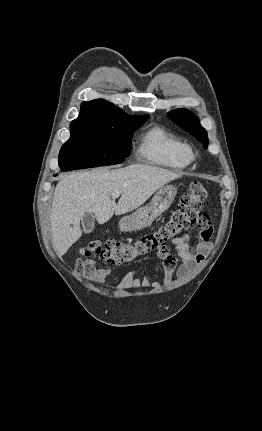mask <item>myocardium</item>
I'll use <instances>...</instances> for the list:
<instances>
[{"instance_id": "1", "label": "myocardium", "mask_w": 262, "mask_h": 431, "mask_svg": "<svg viewBox=\"0 0 262 431\" xmlns=\"http://www.w3.org/2000/svg\"><path fill=\"white\" fill-rule=\"evenodd\" d=\"M194 160V155L193 154H191L190 155V161L192 162Z\"/></svg>"}]
</instances>
